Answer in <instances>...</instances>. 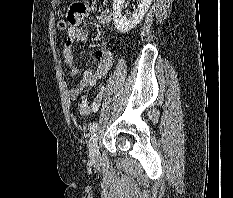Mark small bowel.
I'll list each match as a JSON object with an SVG mask.
<instances>
[{
	"mask_svg": "<svg viewBox=\"0 0 233 198\" xmlns=\"http://www.w3.org/2000/svg\"><path fill=\"white\" fill-rule=\"evenodd\" d=\"M88 15L89 7L83 2L72 3L67 13L70 26L67 29V38L62 46V57L64 63L68 66L71 77H75L80 72L74 58V49L88 38V33L81 29V25ZM95 18L100 25L108 26L112 22L113 12L110 9H104ZM95 57L97 60L96 68L84 71L81 80L68 89L67 95L70 100H75L88 86H94L111 68L113 55L109 50L100 48L96 50Z\"/></svg>",
	"mask_w": 233,
	"mask_h": 198,
	"instance_id": "obj_1",
	"label": "small bowel"
}]
</instances>
